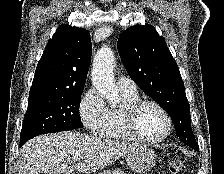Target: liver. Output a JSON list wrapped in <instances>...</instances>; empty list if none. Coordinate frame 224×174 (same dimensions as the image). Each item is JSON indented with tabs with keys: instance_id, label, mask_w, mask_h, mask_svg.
<instances>
[{
	"instance_id": "1",
	"label": "liver",
	"mask_w": 224,
	"mask_h": 174,
	"mask_svg": "<svg viewBox=\"0 0 224 174\" xmlns=\"http://www.w3.org/2000/svg\"><path fill=\"white\" fill-rule=\"evenodd\" d=\"M140 146L71 131L41 135L20 149L19 174L92 173Z\"/></svg>"
}]
</instances>
